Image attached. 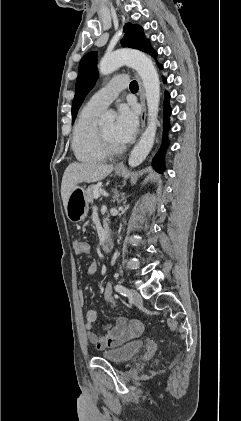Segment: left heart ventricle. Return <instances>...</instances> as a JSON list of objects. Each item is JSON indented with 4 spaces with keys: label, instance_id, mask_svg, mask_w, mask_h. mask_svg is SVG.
I'll return each instance as SVG.
<instances>
[{
    "label": "left heart ventricle",
    "instance_id": "b2bd125f",
    "mask_svg": "<svg viewBox=\"0 0 241 421\" xmlns=\"http://www.w3.org/2000/svg\"><path fill=\"white\" fill-rule=\"evenodd\" d=\"M102 130V132L104 133V135L108 138V140L116 145V146H120L121 144L116 140L115 138V124L113 123H109L107 125H104L100 128Z\"/></svg>",
    "mask_w": 241,
    "mask_h": 421
}]
</instances>
